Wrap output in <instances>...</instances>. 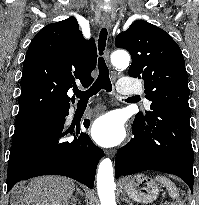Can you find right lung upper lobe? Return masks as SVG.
<instances>
[{"label": "right lung upper lobe", "mask_w": 199, "mask_h": 205, "mask_svg": "<svg viewBox=\"0 0 199 205\" xmlns=\"http://www.w3.org/2000/svg\"><path fill=\"white\" fill-rule=\"evenodd\" d=\"M96 59L95 41L83 37L75 17L45 26L26 53L18 116L69 107L75 98L67 91L76 81L83 86L93 82Z\"/></svg>", "instance_id": "1"}]
</instances>
